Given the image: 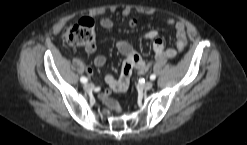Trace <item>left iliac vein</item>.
I'll use <instances>...</instances> for the list:
<instances>
[{
	"label": "left iliac vein",
	"instance_id": "left-iliac-vein-1",
	"mask_svg": "<svg viewBox=\"0 0 247 145\" xmlns=\"http://www.w3.org/2000/svg\"><path fill=\"white\" fill-rule=\"evenodd\" d=\"M153 87L152 81H147L144 84H142V88L145 90H150Z\"/></svg>",
	"mask_w": 247,
	"mask_h": 145
}]
</instances>
